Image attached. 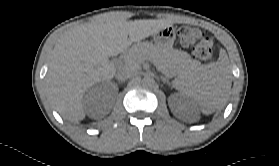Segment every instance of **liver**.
<instances>
[{
    "label": "liver",
    "instance_id": "liver-1",
    "mask_svg": "<svg viewBox=\"0 0 279 166\" xmlns=\"http://www.w3.org/2000/svg\"><path fill=\"white\" fill-rule=\"evenodd\" d=\"M172 18L130 20L112 13L65 32L56 43L46 75L49 97L59 114L68 120H83L84 92L93 84L115 76L116 56L161 29Z\"/></svg>",
    "mask_w": 279,
    "mask_h": 166
}]
</instances>
